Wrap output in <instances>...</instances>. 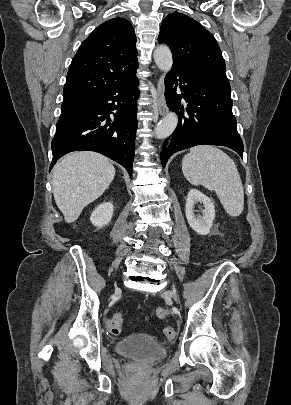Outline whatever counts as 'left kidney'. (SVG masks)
<instances>
[{
  "label": "left kidney",
  "instance_id": "1",
  "mask_svg": "<svg viewBox=\"0 0 291 405\" xmlns=\"http://www.w3.org/2000/svg\"><path fill=\"white\" fill-rule=\"evenodd\" d=\"M198 202L204 205L202 216H195L194 214V205ZM185 214L190 227L195 232L200 235H207L210 232L215 219V208L209 197L197 189H191L187 196Z\"/></svg>",
  "mask_w": 291,
  "mask_h": 405
}]
</instances>
